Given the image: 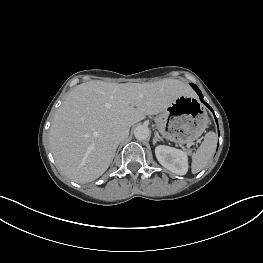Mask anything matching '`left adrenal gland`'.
<instances>
[{
    "label": "left adrenal gland",
    "instance_id": "left-adrenal-gland-1",
    "mask_svg": "<svg viewBox=\"0 0 263 263\" xmlns=\"http://www.w3.org/2000/svg\"><path fill=\"white\" fill-rule=\"evenodd\" d=\"M160 140H161V138H160L157 134H155V136H154V138H153V145H155L156 142H157V141H160Z\"/></svg>",
    "mask_w": 263,
    "mask_h": 263
}]
</instances>
